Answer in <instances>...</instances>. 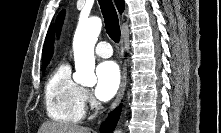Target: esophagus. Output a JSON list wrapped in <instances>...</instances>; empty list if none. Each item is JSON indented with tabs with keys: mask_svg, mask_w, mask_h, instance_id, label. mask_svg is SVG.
<instances>
[{
	"mask_svg": "<svg viewBox=\"0 0 221 133\" xmlns=\"http://www.w3.org/2000/svg\"><path fill=\"white\" fill-rule=\"evenodd\" d=\"M121 50L123 51V39L121 40ZM126 83H127V68H126V64H123V68H122V81H121V85L119 88V91L117 93L116 99L114 100L111 109L113 110L115 109L119 103L121 102L125 89H126Z\"/></svg>",
	"mask_w": 221,
	"mask_h": 133,
	"instance_id": "1",
	"label": "esophagus"
}]
</instances>
